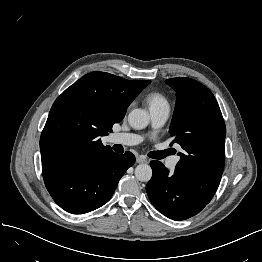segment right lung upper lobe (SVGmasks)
<instances>
[{
	"mask_svg": "<svg viewBox=\"0 0 262 262\" xmlns=\"http://www.w3.org/2000/svg\"><path fill=\"white\" fill-rule=\"evenodd\" d=\"M151 81H130L92 72L54 102L40 138L42 163L97 157L112 151L100 137L112 131L127 107Z\"/></svg>",
	"mask_w": 262,
	"mask_h": 262,
	"instance_id": "1",
	"label": "right lung upper lobe"
}]
</instances>
